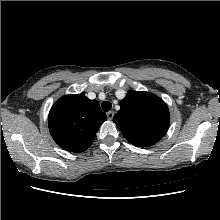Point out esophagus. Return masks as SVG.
Wrapping results in <instances>:
<instances>
[{"label":"esophagus","mask_w":220,"mask_h":220,"mask_svg":"<svg viewBox=\"0 0 220 220\" xmlns=\"http://www.w3.org/2000/svg\"><path fill=\"white\" fill-rule=\"evenodd\" d=\"M107 117H108L109 120H112L113 117H114V112H113V111H109V112L107 113Z\"/></svg>","instance_id":"1"}]
</instances>
